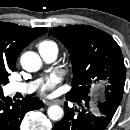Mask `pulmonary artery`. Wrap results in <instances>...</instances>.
Segmentation results:
<instances>
[{
    "instance_id": "obj_1",
    "label": "pulmonary artery",
    "mask_w": 130,
    "mask_h": 130,
    "mask_svg": "<svg viewBox=\"0 0 130 130\" xmlns=\"http://www.w3.org/2000/svg\"><path fill=\"white\" fill-rule=\"evenodd\" d=\"M39 52L45 62L51 63L57 58L58 50L53 48V49L43 50ZM36 87H37L36 82H30V83L11 82L7 85V91L9 93L29 94L34 92Z\"/></svg>"
}]
</instances>
